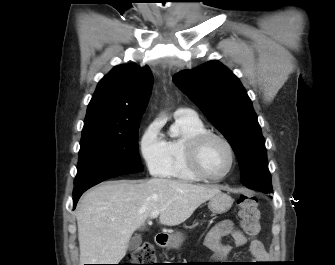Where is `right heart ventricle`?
<instances>
[{
  "label": "right heart ventricle",
  "mask_w": 335,
  "mask_h": 265,
  "mask_svg": "<svg viewBox=\"0 0 335 265\" xmlns=\"http://www.w3.org/2000/svg\"><path fill=\"white\" fill-rule=\"evenodd\" d=\"M174 125L181 134L166 141L168 163L163 176L183 182H198L201 179L189 168L186 149L188 141L192 137L207 131V129L199 118L175 117Z\"/></svg>",
  "instance_id": "1"
}]
</instances>
